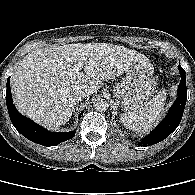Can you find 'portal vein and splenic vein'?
Here are the masks:
<instances>
[{
	"instance_id": "1",
	"label": "portal vein and splenic vein",
	"mask_w": 195,
	"mask_h": 195,
	"mask_svg": "<svg viewBox=\"0 0 195 195\" xmlns=\"http://www.w3.org/2000/svg\"><path fill=\"white\" fill-rule=\"evenodd\" d=\"M83 68V64L82 63H79L78 66H77V69L78 70H81Z\"/></svg>"
}]
</instances>
